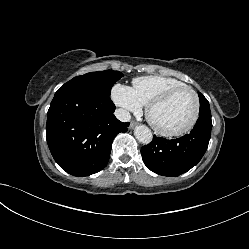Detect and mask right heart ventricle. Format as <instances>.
<instances>
[{
  "label": "right heart ventricle",
  "mask_w": 249,
  "mask_h": 249,
  "mask_svg": "<svg viewBox=\"0 0 249 249\" xmlns=\"http://www.w3.org/2000/svg\"><path fill=\"white\" fill-rule=\"evenodd\" d=\"M133 91L144 106L171 88L186 85L184 82L167 76L150 75L133 79Z\"/></svg>",
  "instance_id": "e07e8e85"
}]
</instances>
